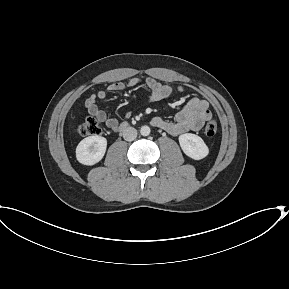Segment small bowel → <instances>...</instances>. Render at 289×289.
I'll return each instance as SVG.
<instances>
[{
    "label": "small bowel",
    "instance_id": "obj_1",
    "mask_svg": "<svg viewBox=\"0 0 289 289\" xmlns=\"http://www.w3.org/2000/svg\"><path fill=\"white\" fill-rule=\"evenodd\" d=\"M138 85H144L149 90L148 102H157L170 97L174 92H183L184 88L179 86L172 88L167 83H161L152 77L144 80L140 78H132L127 82L112 83L107 87V91L99 90L92 94L86 101L85 107L88 113L95 117L98 121L104 123L109 129L117 130L119 122L115 118H109L105 111L98 108L97 102L104 100L107 92H120L128 88ZM131 112L126 113V117H130ZM211 118L209 104L206 100L199 97L191 98L187 104L177 113L173 121L166 120L162 117H154L151 120L153 126L165 130L172 136H179L186 132L200 130L204 123Z\"/></svg>",
    "mask_w": 289,
    "mask_h": 289
}]
</instances>
